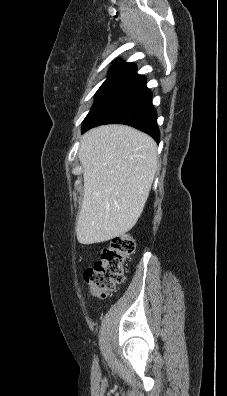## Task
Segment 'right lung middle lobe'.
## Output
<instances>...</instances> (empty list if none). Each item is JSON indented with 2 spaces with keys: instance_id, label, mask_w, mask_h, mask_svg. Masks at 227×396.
<instances>
[{
  "instance_id": "dd1d6c3e",
  "label": "right lung middle lobe",
  "mask_w": 227,
  "mask_h": 396,
  "mask_svg": "<svg viewBox=\"0 0 227 396\" xmlns=\"http://www.w3.org/2000/svg\"><path fill=\"white\" fill-rule=\"evenodd\" d=\"M133 73L126 70L110 71L109 76L96 93L95 102L89 114L130 78Z\"/></svg>"
}]
</instances>
